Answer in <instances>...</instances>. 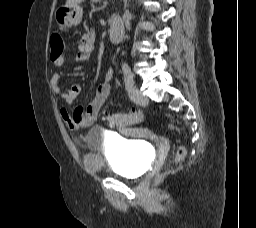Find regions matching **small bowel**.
<instances>
[{
    "label": "small bowel",
    "mask_w": 256,
    "mask_h": 228,
    "mask_svg": "<svg viewBox=\"0 0 256 228\" xmlns=\"http://www.w3.org/2000/svg\"><path fill=\"white\" fill-rule=\"evenodd\" d=\"M95 48V33L93 31L86 32L81 39L75 44L76 59L79 61L87 60L93 53ZM65 54L61 53L57 57L51 56L54 66L61 67L65 63ZM113 71L109 69L105 80L97 87L93 100L85 107H77L71 114L66 107H62L60 112L67 126L73 130L88 128L98 121L103 105L110 96L111 85L109 83ZM60 74L54 73L50 79V87L52 91L60 96L66 106L72 105L74 100L81 92V86L77 83L71 85L66 91H62L60 86Z\"/></svg>",
    "instance_id": "1"
}]
</instances>
